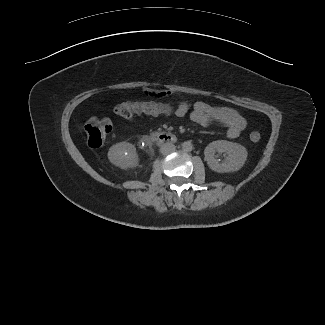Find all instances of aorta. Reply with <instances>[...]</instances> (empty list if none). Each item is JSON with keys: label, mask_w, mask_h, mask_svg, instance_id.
I'll use <instances>...</instances> for the list:
<instances>
[{"label": "aorta", "mask_w": 325, "mask_h": 325, "mask_svg": "<svg viewBox=\"0 0 325 325\" xmlns=\"http://www.w3.org/2000/svg\"><path fill=\"white\" fill-rule=\"evenodd\" d=\"M193 149V145L190 141H186L182 144V150L184 152H190Z\"/></svg>", "instance_id": "762f6f07"}]
</instances>
